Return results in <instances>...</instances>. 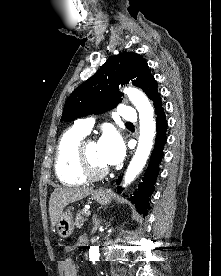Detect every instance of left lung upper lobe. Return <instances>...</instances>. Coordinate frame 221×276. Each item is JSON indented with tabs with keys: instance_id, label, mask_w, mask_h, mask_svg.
I'll list each match as a JSON object with an SVG mask.
<instances>
[{
	"instance_id": "obj_1",
	"label": "left lung upper lobe",
	"mask_w": 221,
	"mask_h": 276,
	"mask_svg": "<svg viewBox=\"0 0 221 276\" xmlns=\"http://www.w3.org/2000/svg\"><path fill=\"white\" fill-rule=\"evenodd\" d=\"M128 83L141 88L151 100L159 94L146 60L136 53H121L109 57L95 75L71 93L61 120L70 121L115 108L122 101L118 86Z\"/></svg>"
}]
</instances>
